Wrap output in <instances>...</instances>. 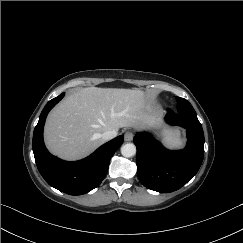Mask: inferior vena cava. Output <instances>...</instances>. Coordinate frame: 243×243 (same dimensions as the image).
I'll return each mask as SVG.
<instances>
[{"label": "inferior vena cava", "mask_w": 243, "mask_h": 243, "mask_svg": "<svg viewBox=\"0 0 243 243\" xmlns=\"http://www.w3.org/2000/svg\"><path fill=\"white\" fill-rule=\"evenodd\" d=\"M117 136V132L115 130H108L101 134V137L105 141H109Z\"/></svg>", "instance_id": "602c4592"}]
</instances>
